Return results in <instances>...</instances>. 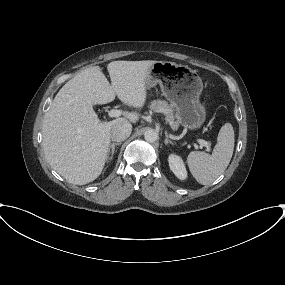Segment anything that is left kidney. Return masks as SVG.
Masks as SVG:
<instances>
[{
	"mask_svg": "<svg viewBox=\"0 0 285 285\" xmlns=\"http://www.w3.org/2000/svg\"><path fill=\"white\" fill-rule=\"evenodd\" d=\"M170 170L175 174L180 180H185L187 178V170L182 158L176 154H170L168 157Z\"/></svg>",
	"mask_w": 285,
	"mask_h": 285,
	"instance_id": "obj_1",
	"label": "left kidney"
}]
</instances>
